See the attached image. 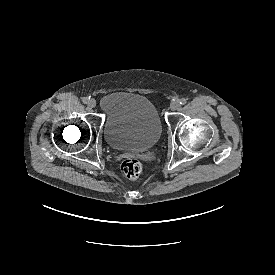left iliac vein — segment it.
Returning <instances> with one entry per match:
<instances>
[{
	"label": "left iliac vein",
	"mask_w": 275,
	"mask_h": 275,
	"mask_svg": "<svg viewBox=\"0 0 275 275\" xmlns=\"http://www.w3.org/2000/svg\"><path fill=\"white\" fill-rule=\"evenodd\" d=\"M170 108H171V110H173V111L178 110V109L180 108V103H179V101H173V102H171Z\"/></svg>",
	"instance_id": "1"
}]
</instances>
